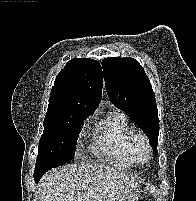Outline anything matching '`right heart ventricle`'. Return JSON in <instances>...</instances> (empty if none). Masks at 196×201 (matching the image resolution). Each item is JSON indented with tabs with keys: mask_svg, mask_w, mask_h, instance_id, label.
I'll return each mask as SVG.
<instances>
[{
	"mask_svg": "<svg viewBox=\"0 0 196 201\" xmlns=\"http://www.w3.org/2000/svg\"><path fill=\"white\" fill-rule=\"evenodd\" d=\"M134 133L127 116L121 112H112L99 121L94 130V152L114 165L128 168L130 158V140Z\"/></svg>",
	"mask_w": 196,
	"mask_h": 201,
	"instance_id": "obj_1",
	"label": "right heart ventricle"
}]
</instances>
